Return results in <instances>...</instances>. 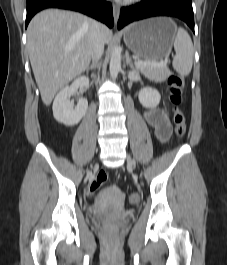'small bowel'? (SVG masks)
I'll return each mask as SVG.
<instances>
[{"instance_id":"obj_1","label":"small bowel","mask_w":227,"mask_h":265,"mask_svg":"<svg viewBox=\"0 0 227 265\" xmlns=\"http://www.w3.org/2000/svg\"><path fill=\"white\" fill-rule=\"evenodd\" d=\"M142 116L146 123L151 126L157 139L165 143L171 135L172 125L167 109H144Z\"/></svg>"}]
</instances>
